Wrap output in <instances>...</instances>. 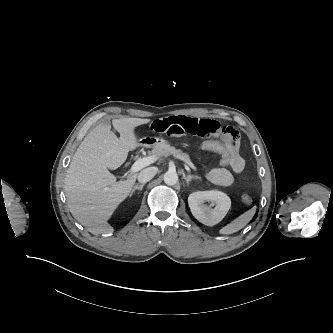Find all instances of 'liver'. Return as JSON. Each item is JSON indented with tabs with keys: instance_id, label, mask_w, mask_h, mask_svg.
I'll return each mask as SVG.
<instances>
[{
	"instance_id": "6515ba94",
	"label": "liver",
	"mask_w": 333,
	"mask_h": 333,
	"mask_svg": "<svg viewBox=\"0 0 333 333\" xmlns=\"http://www.w3.org/2000/svg\"><path fill=\"white\" fill-rule=\"evenodd\" d=\"M148 122L150 119H113L120 138L112 133L110 124L102 123L86 135L72 157L64 182L68 208L92 234L114 231L107 221L128 197L137 176L116 182L108 169L120 167L128 152L141 145L134 130Z\"/></svg>"
}]
</instances>
